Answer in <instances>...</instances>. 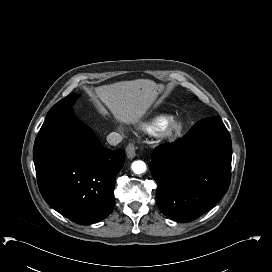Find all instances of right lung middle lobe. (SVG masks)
Returning a JSON list of instances; mask_svg holds the SVG:
<instances>
[{"label": "right lung middle lobe", "instance_id": "obj_1", "mask_svg": "<svg viewBox=\"0 0 272 272\" xmlns=\"http://www.w3.org/2000/svg\"><path fill=\"white\" fill-rule=\"evenodd\" d=\"M78 95L75 93L69 94L67 97L64 99L60 100L57 102L48 112L47 116L51 115L53 112L58 111L60 109L64 108H70L74 103L75 100L77 99Z\"/></svg>", "mask_w": 272, "mask_h": 272}]
</instances>
